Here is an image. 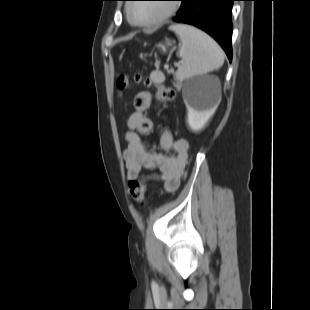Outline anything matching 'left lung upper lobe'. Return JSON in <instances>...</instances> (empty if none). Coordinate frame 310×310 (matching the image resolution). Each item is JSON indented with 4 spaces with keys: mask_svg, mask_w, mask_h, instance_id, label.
<instances>
[{
    "mask_svg": "<svg viewBox=\"0 0 310 310\" xmlns=\"http://www.w3.org/2000/svg\"><path fill=\"white\" fill-rule=\"evenodd\" d=\"M180 1H182V5H181V8H182V6L184 5V1H185V0H180ZM181 8H180V9H181Z\"/></svg>",
    "mask_w": 310,
    "mask_h": 310,
    "instance_id": "5c2ea615",
    "label": "left lung upper lobe"
}]
</instances>
